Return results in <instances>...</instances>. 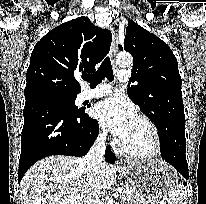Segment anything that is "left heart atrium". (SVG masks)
Listing matches in <instances>:
<instances>
[{
	"mask_svg": "<svg viewBox=\"0 0 206 204\" xmlns=\"http://www.w3.org/2000/svg\"><path fill=\"white\" fill-rule=\"evenodd\" d=\"M95 117L103 126L124 140L137 114L131 102L120 94H114L98 103L95 108Z\"/></svg>",
	"mask_w": 206,
	"mask_h": 204,
	"instance_id": "39dd6f15",
	"label": "left heart atrium"
}]
</instances>
